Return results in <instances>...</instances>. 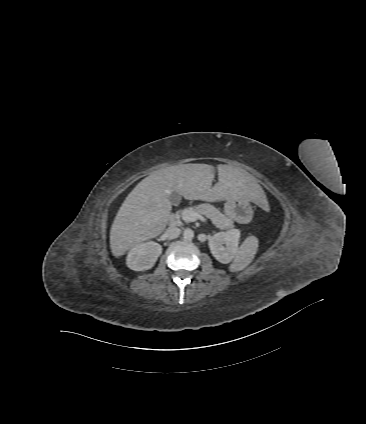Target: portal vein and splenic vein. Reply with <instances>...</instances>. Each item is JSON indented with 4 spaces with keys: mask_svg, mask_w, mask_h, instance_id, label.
I'll return each mask as SVG.
<instances>
[{
    "mask_svg": "<svg viewBox=\"0 0 366 424\" xmlns=\"http://www.w3.org/2000/svg\"><path fill=\"white\" fill-rule=\"evenodd\" d=\"M180 217L185 221V222H195L197 220H201V221H205L204 217L202 215H200L199 213H197L196 211L193 210H189V209H184L181 214Z\"/></svg>",
    "mask_w": 366,
    "mask_h": 424,
    "instance_id": "obj_1",
    "label": "portal vein and splenic vein"
}]
</instances>
